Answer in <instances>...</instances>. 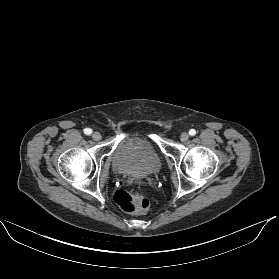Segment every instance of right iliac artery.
<instances>
[{
	"label": "right iliac artery",
	"instance_id": "1",
	"mask_svg": "<svg viewBox=\"0 0 279 279\" xmlns=\"http://www.w3.org/2000/svg\"><path fill=\"white\" fill-rule=\"evenodd\" d=\"M84 133H85L86 135H90V134L92 133V130L89 129V128H85V129H84Z\"/></svg>",
	"mask_w": 279,
	"mask_h": 279
}]
</instances>
